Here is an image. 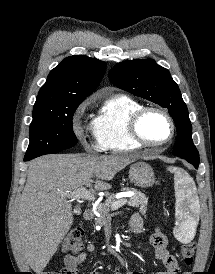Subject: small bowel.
<instances>
[{
	"label": "small bowel",
	"instance_id": "obj_1",
	"mask_svg": "<svg viewBox=\"0 0 215 274\" xmlns=\"http://www.w3.org/2000/svg\"><path fill=\"white\" fill-rule=\"evenodd\" d=\"M130 228L132 231L140 232L143 229V219L136 213L130 219ZM150 242L154 250L156 258L160 259L165 269L152 274H177L179 272L178 261L176 257L170 252L168 248V239L164 233L159 228H156L154 233L150 237ZM96 246L90 242L87 244L85 251L79 253L78 255H66L64 258V270L68 274H78V269L80 265L87 259L89 254L93 253ZM90 274H100L99 272H91ZM115 274H122L121 272H116ZM130 274H139L137 272H132ZM183 274H190L189 272H184Z\"/></svg>",
	"mask_w": 215,
	"mask_h": 274
}]
</instances>
